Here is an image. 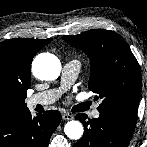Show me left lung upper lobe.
Returning <instances> with one entry per match:
<instances>
[{"label":"left lung upper lobe","mask_w":147,"mask_h":147,"mask_svg":"<svg viewBox=\"0 0 147 147\" xmlns=\"http://www.w3.org/2000/svg\"><path fill=\"white\" fill-rule=\"evenodd\" d=\"M83 50L91 61L89 89L98 94L101 115L110 116L134 129L141 94L139 64L128 44L117 33L94 29L62 37Z\"/></svg>","instance_id":"obj_1"}]
</instances>
